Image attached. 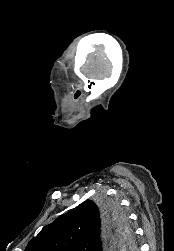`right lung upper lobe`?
Returning a JSON list of instances; mask_svg holds the SVG:
<instances>
[{"label":"right lung upper lobe","mask_w":174,"mask_h":251,"mask_svg":"<svg viewBox=\"0 0 174 251\" xmlns=\"http://www.w3.org/2000/svg\"><path fill=\"white\" fill-rule=\"evenodd\" d=\"M104 219L101 209L92 200H86L45 226L25 251L118 250L122 242L115 239L110 247H102Z\"/></svg>","instance_id":"1"}]
</instances>
